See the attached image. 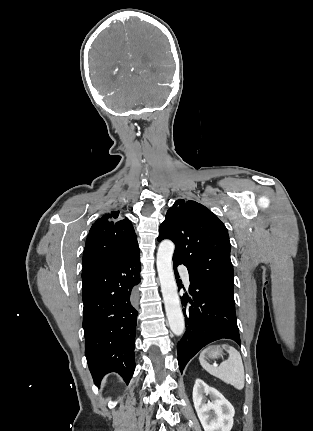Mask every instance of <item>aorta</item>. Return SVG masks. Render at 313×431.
<instances>
[{"instance_id": "1", "label": "aorta", "mask_w": 313, "mask_h": 431, "mask_svg": "<svg viewBox=\"0 0 313 431\" xmlns=\"http://www.w3.org/2000/svg\"><path fill=\"white\" fill-rule=\"evenodd\" d=\"M174 248L172 241H162L158 248L156 263L170 329L176 336H181L185 330V322L173 272Z\"/></svg>"}]
</instances>
